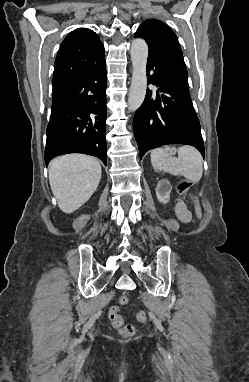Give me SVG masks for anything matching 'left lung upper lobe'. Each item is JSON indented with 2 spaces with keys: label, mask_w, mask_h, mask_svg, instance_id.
<instances>
[{
  "label": "left lung upper lobe",
  "mask_w": 249,
  "mask_h": 382,
  "mask_svg": "<svg viewBox=\"0 0 249 382\" xmlns=\"http://www.w3.org/2000/svg\"><path fill=\"white\" fill-rule=\"evenodd\" d=\"M146 40L149 46L148 58L169 74L188 83L187 69L178 39L172 29L157 19L144 21L135 33V38Z\"/></svg>",
  "instance_id": "obj_1"
}]
</instances>
